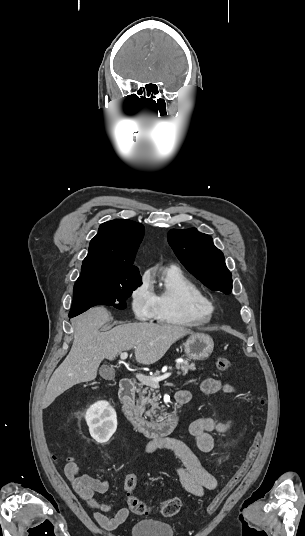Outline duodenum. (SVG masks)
Wrapping results in <instances>:
<instances>
[{
  "label": "duodenum",
  "mask_w": 305,
  "mask_h": 536,
  "mask_svg": "<svg viewBox=\"0 0 305 536\" xmlns=\"http://www.w3.org/2000/svg\"><path fill=\"white\" fill-rule=\"evenodd\" d=\"M119 399L122 405V414L139 433L152 438H160L169 434L177 424L179 405L185 402L182 395H176V408L158 422L147 421L135 408V383L130 378L121 381Z\"/></svg>",
  "instance_id": "1"
}]
</instances>
